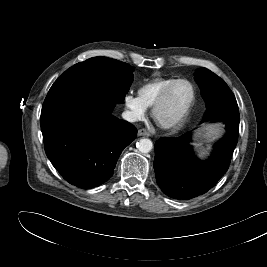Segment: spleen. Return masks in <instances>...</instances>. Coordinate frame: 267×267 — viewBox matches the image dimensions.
Returning <instances> with one entry per match:
<instances>
[{
  "label": "spleen",
  "instance_id": "spleen-1",
  "mask_svg": "<svg viewBox=\"0 0 267 267\" xmlns=\"http://www.w3.org/2000/svg\"><path fill=\"white\" fill-rule=\"evenodd\" d=\"M209 148H210V146L199 148V150H198L199 156H204V155L208 154L207 149H209Z\"/></svg>",
  "mask_w": 267,
  "mask_h": 267
}]
</instances>
